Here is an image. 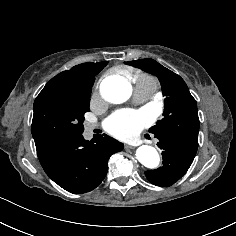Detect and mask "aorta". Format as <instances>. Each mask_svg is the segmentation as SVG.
<instances>
[{
    "mask_svg": "<svg viewBox=\"0 0 236 236\" xmlns=\"http://www.w3.org/2000/svg\"><path fill=\"white\" fill-rule=\"evenodd\" d=\"M100 92L108 102L120 104L129 99L132 94V87L125 78L113 76L103 80ZM136 158L147 168L153 169L159 166V154L152 146L142 145L138 147Z\"/></svg>",
    "mask_w": 236,
    "mask_h": 236,
    "instance_id": "aorta-1",
    "label": "aorta"
}]
</instances>
